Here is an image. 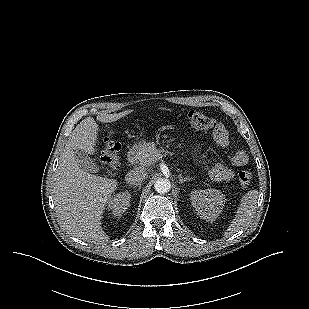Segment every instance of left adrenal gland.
<instances>
[{
    "instance_id": "1",
    "label": "left adrenal gland",
    "mask_w": 309,
    "mask_h": 309,
    "mask_svg": "<svg viewBox=\"0 0 309 309\" xmlns=\"http://www.w3.org/2000/svg\"><path fill=\"white\" fill-rule=\"evenodd\" d=\"M178 178H179V182H180V183H183V182H186V181H190V180H191L190 177H184V178H183L181 175H179Z\"/></svg>"
}]
</instances>
